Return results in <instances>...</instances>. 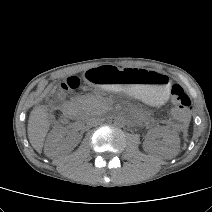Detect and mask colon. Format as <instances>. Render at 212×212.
<instances>
[{
	"instance_id": "1",
	"label": "colon",
	"mask_w": 212,
	"mask_h": 212,
	"mask_svg": "<svg viewBox=\"0 0 212 212\" xmlns=\"http://www.w3.org/2000/svg\"><path fill=\"white\" fill-rule=\"evenodd\" d=\"M81 82H82L81 77L72 76L68 78L64 83H62L61 87L65 91L76 90L80 87ZM171 103L173 106L172 107L173 116L180 122L187 121L192 109V102L189 95L184 90V88L179 84H175L172 87Z\"/></svg>"
}]
</instances>
